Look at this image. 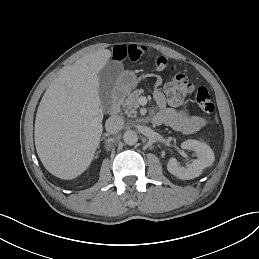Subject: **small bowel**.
<instances>
[{"label":"small bowel","instance_id":"1","mask_svg":"<svg viewBox=\"0 0 259 259\" xmlns=\"http://www.w3.org/2000/svg\"><path fill=\"white\" fill-rule=\"evenodd\" d=\"M146 52V48L138 44H120L112 48L111 56L116 62L125 60L136 61ZM153 96L159 112L154 116L153 122L158 125H167L185 134H193L199 131L206 120L198 115H192L186 109H177L168 105L164 93L160 89H155Z\"/></svg>","mask_w":259,"mask_h":259}]
</instances>
